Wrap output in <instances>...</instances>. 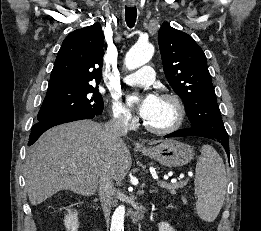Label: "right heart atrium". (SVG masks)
I'll return each mask as SVG.
<instances>
[{
  "mask_svg": "<svg viewBox=\"0 0 261 231\" xmlns=\"http://www.w3.org/2000/svg\"><path fill=\"white\" fill-rule=\"evenodd\" d=\"M112 122L123 129L133 126L135 117L131 111L118 99L112 103Z\"/></svg>",
  "mask_w": 261,
  "mask_h": 231,
  "instance_id": "right-heart-atrium-1",
  "label": "right heart atrium"
}]
</instances>
